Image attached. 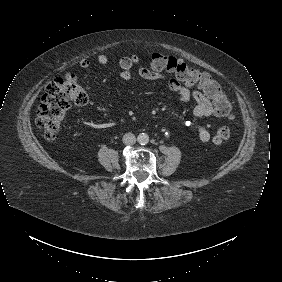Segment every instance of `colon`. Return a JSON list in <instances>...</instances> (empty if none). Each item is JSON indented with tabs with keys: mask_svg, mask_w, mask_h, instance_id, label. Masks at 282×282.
Returning a JSON list of instances; mask_svg holds the SVG:
<instances>
[{
	"mask_svg": "<svg viewBox=\"0 0 282 282\" xmlns=\"http://www.w3.org/2000/svg\"><path fill=\"white\" fill-rule=\"evenodd\" d=\"M150 67L155 72L175 73L186 86H198L214 102V110L227 120L234 118L232 102L226 97L221 86L209 74L200 73L192 66L161 53L151 55ZM87 104V95L75 74H66L50 81L44 90L35 124L43 137L52 140L64 124L66 111L72 107ZM229 127L219 126L212 138L215 146L223 147L230 138Z\"/></svg>",
	"mask_w": 282,
	"mask_h": 282,
	"instance_id": "5ec220e1",
	"label": "colon"
}]
</instances>
